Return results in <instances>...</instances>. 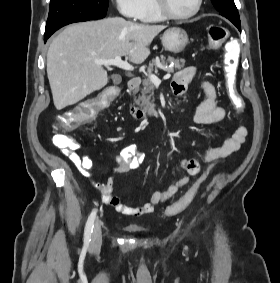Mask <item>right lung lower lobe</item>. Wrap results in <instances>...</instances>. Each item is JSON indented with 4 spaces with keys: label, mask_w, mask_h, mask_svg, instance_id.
Masks as SVG:
<instances>
[{
    "label": "right lung lower lobe",
    "mask_w": 280,
    "mask_h": 283,
    "mask_svg": "<svg viewBox=\"0 0 280 283\" xmlns=\"http://www.w3.org/2000/svg\"><path fill=\"white\" fill-rule=\"evenodd\" d=\"M82 21H89V20H84V19H62V20H58L55 21L53 23H50L48 25H46V29H45V34H44V41L46 42V40L59 28L71 24V23H75V22H82Z\"/></svg>",
    "instance_id": "right-lung-lower-lobe-1"
}]
</instances>
